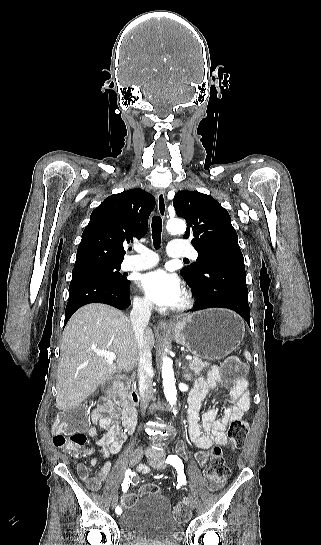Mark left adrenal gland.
Wrapping results in <instances>:
<instances>
[{
	"mask_svg": "<svg viewBox=\"0 0 321 545\" xmlns=\"http://www.w3.org/2000/svg\"><path fill=\"white\" fill-rule=\"evenodd\" d=\"M183 369H185V367H183ZM185 373H187V371H185ZM183 377H185L186 381H191V377L188 375V373L187 375H183Z\"/></svg>",
	"mask_w": 321,
	"mask_h": 545,
	"instance_id": "obj_1",
	"label": "left adrenal gland"
}]
</instances>
